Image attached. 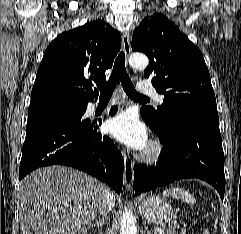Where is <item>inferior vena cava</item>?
<instances>
[{
    "label": "inferior vena cava",
    "instance_id": "inferior-vena-cava-1",
    "mask_svg": "<svg viewBox=\"0 0 241 234\" xmlns=\"http://www.w3.org/2000/svg\"><path fill=\"white\" fill-rule=\"evenodd\" d=\"M114 196L113 194H111L110 190L105 187L102 190V202L100 205V214H102L103 216L106 215V213L108 211H110L112 209V207L114 206Z\"/></svg>",
    "mask_w": 241,
    "mask_h": 234
}]
</instances>
